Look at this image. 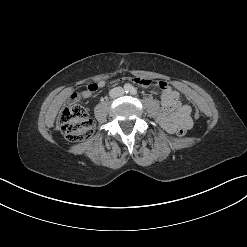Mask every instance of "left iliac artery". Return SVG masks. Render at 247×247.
Returning <instances> with one entry per match:
<instances>
[{
	"instance_id": "obj_1",
	"label": "left iliac artery",
	"mask_w": 247,
	"mask_h": 247,
	"mask_svg": "<svg viewBox=\"0 0 247 247\" xmlns=\"http://www.w3.org/2000/svg\"><path fill=\"white\" fill-rule=\"evenodd\" d=\"M130 93H131L132 95H137V90H136V88L132 87L131 90H130Z\"/></svg>"
}]
</instances>
